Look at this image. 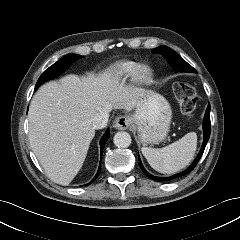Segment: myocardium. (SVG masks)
<instances>
[{"instance_id": "obj_1", "label": "myocardium", "mask_w": 240, "mask_h": 240, "mask_svg": "<svg viewBox=\"0 0 240 240\" xmlns=\"http://www.w3.org/2000/svg\"><path fill=\"white\" fill-rule=\"evenodd\" d=\"M153 75V70L150 65L146 63H140L137 64L135 67L133 73H132V79L136 83L139 84H145L150 81Z\"/></svg>"}]
</instances>
